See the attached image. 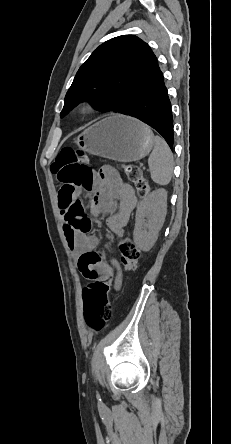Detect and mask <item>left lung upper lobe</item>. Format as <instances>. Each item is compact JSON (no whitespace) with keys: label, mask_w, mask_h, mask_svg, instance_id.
<instances>
[{"label":"left lung upper lobe","mask_w":231,"mask_h":444,"mask_svg":"<svg viewBox=\"0 0 231 444\" xmlns=\"http://www.w3.org/2000/svg\"><path fill=\"white\" fill-rule=\"evenodd\" d=\"M156 60L149 45L137 36L106 41L79 68L60 115L82 101H90L102 112H119Z\"/></svg>","instance_id":"5c2ea615"}]
</instances>
